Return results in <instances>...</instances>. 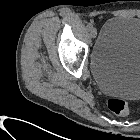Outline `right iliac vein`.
Listing matches in <instances>:
<instances>
[{"mask_svg":"<svg viewBox=\"0 0 140 140\" xmlns=\"http://www.w3.org/2000/svg\"><path fill=\"white\" fill-rule=\"evenodd\" d=\"M90 34H91V37H92V38H95L96 35H97V30H96V28H92V29L90 30Z\"/></svg>","mask_w":140,"mask_h":140,"instance_id":"obj_1","label":"right iliac vein"}]
</instances>
